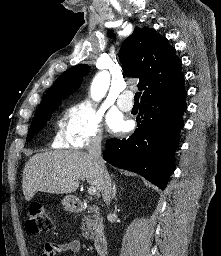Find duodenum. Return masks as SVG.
Segmentation results:
<instances>
[{
    "mask_svg": "<svg viewBox=\"0 0 221 256\" xmlns=\"http://www.w3.org/2000/svg\"><path fill=\"white\" fill-rule=\"evenodd\" d=\"M89 205L80 200V199H73L71 201V208L75 212H82L85 209H87ZM93 244L96 252L100 256H105L108 251V241H107V236L103 231H99L95 234L93 238Z\"/></svg>",
    "mask_w": 221,
    "mask_h": 256,
    "instance_id": "410a0bca",
    "label": "duodenum"
}]
</instances>
